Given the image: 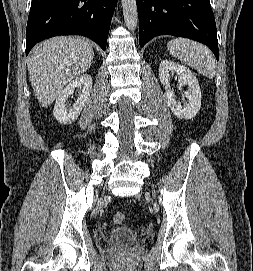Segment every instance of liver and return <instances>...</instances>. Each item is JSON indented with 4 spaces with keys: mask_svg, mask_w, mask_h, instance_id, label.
Listing matches in <instances>:
<instances>
[{
    "mask_svg": "<svg viewBox=\"0 0 253 271\" xmlns=\"http://www.w3.org/2000/svg\"><path fill=\"white\" fill-rule=\"evenodd\" d=\"M93 57L89 41L77 37H54L36 45L28 56V72L42 107L50 106L68 82L85 73Z\"/></svg>",
    "mask_w": 253,
    "mask_h": 271,
    "instance_id": "liver-1",
    "label": "liver"
}]
</instances>
